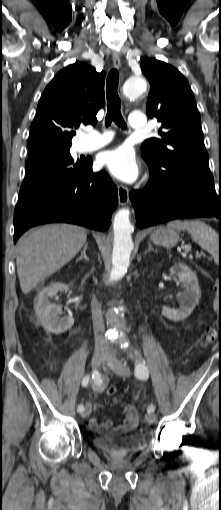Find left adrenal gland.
Wrapping results in <instances>:
<instances>
[{
	"instance_id": "left-adrenal-gland-1",
	"label": "left adrenal gland",
	"mask_w": 221,
	"mask_h": 510,
	"mask_svg": "<svg viewBox=\"0 0 221 510\" xmlns=\"http://www.w3.org/2000/svg\"><path fill=\"white\" fill-rule=\"evenodd\" d=\"M150 251H152V252H157V250H154V249H153V247H152V245H151V243L149 242V243H148V249L145 251V254H146L147 252H150Z\"/></svg>"
}]
</instances>
